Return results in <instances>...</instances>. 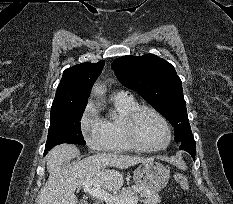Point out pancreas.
Returning <instances> with one entry per match:
<instances>
[{
	"mask_svg": "<svg viewBox=\"0 0 233 204\" xmlns=\"http://www.w3.org/2000/svg\"><path fill=\"white\" fill-rule=\"evenodd\" d=\"M117 197H121V198L137 197L139 198V201L144 204H159L161 201L157 193L142 188L138 185H133L131 187L122 189V191L117 195Z\"/></svg>",
	"mask_w": 233,
	"mask_h": 204,
	"instance_id": "obj_1",
	"label": "pancreas"
}]
</instances>
